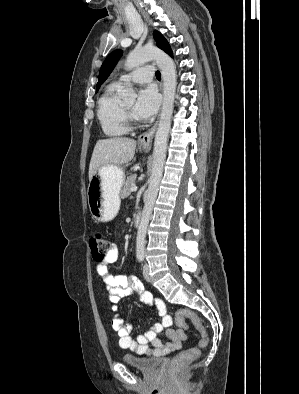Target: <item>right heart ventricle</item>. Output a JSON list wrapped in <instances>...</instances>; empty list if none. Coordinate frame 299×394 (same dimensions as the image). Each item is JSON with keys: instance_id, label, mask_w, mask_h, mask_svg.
<instances>
[{"instance_id": "1", "label": "right heart ventricle", "mask_w": 299, "mask_h": 394, "mask_svg": "<svg viewBox=\"0 0 299 394\" xmlns=\"http://www.w3.org/2000/svg\"><path fill=\"white\" fill-rule=\"evenodd\" d=\"M120 88V83L109 84L98 101V120L104 134L109 137H120L129 131L123 104L118 95Z\"/></svg>"}]
</instances>
